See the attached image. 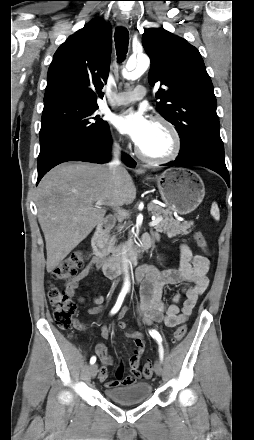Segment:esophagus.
Returning a JSON list of instances; mask_svg holds the SVG:
<instances>
[{
	"mask_svg": "<svg viewBox=\"0 0 254 440\" xmlns=\"http://www.w3.org/2000/svg\"><path fill=\"white\" fill-rule=\"evenodd\" d=\"M117 24L119 26H127L128 25V19L125 16H118L117 17Z\"/></svg>",
	"mask_w": 254,
	"mask_h": 440,
	"instance_id": "esophagus-1",
	"label": "esophagus"
}]
</instances>
